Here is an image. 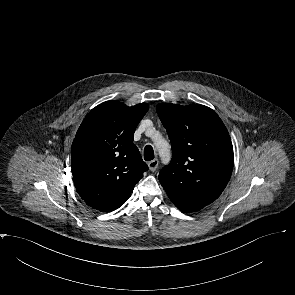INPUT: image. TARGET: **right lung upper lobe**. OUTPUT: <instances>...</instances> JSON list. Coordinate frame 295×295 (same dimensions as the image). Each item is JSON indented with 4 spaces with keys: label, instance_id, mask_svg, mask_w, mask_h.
I'll use <instances>...</instances> for the list:
<instances>
[{
    "label": "right lung upper lobe",
    "instance_id": "cb5924a9",
    "mask_svg": "<svg viewBox=\"0 0 295 295\" xmlns=\"http://www.w3.org/2000/svg\"><path fill=\"white\" fill-rule=\"evenodd\" d=\"M147 103L128 107L107 101L93 108L81 123L71 148L75 188L92 208L118 209L148 170L133 136L148 111Z\"/></svg>",
    "mask_w": 295,
    "mask_h": 295
}]
</instances>
